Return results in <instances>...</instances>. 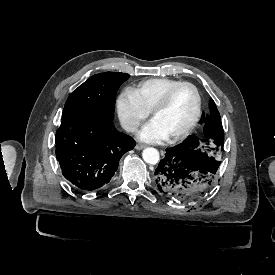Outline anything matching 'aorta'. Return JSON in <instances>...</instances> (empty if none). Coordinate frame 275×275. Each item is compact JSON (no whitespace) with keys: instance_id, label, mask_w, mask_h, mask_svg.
<instances>
[{"instance_id":"obj_1","label":"aorta","mask_w":275,"mask_h":275,"mask_svg":"<svg viewBox=\"0 0 275 275\" xmlns=\"http://www.w3.org/2000/svg\"><path fill=\"white\" fill-rule=\"evenodd\" d=\"M143 160L150 165H155L160 160L159 151L155 148H146L142 153Z\"/></svg>"}]
</instances>
